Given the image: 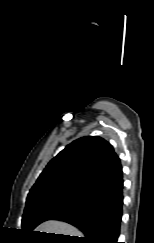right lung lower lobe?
I'll list each match as a JSON object with an SVG mask.
<instances>
[{
  "label": "right lung lower lobe",
  "instance_id": "right-lung-lower-lobe-1",
  "mask_svg": "<svg viewBox=\"0 0 154 243\" xmlns=\"http://www.w3.org/2000/svg\"><path fill=\"white\" fill-rule=\"evenodd\" d=\"M123 206V178L86 200L65 209L50 219L67 222L80 229L85 237L78 243H118Z\"/></svg>",
  "mask_w": 154,
  "mask_h": 243
}]
</instances>
